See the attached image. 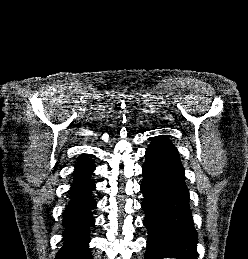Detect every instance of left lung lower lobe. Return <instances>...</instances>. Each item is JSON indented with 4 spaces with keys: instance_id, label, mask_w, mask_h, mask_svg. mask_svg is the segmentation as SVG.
<instances>
[{
    "instance_id": "left-lung-lower-lobe-1",
    "label": "left lung lower lobe",
    "mask_w": 248,
    "mask_h": 259,
    "mask_svg": "<svg viewBox=\"0 0 248 259\" xmlns=\"http://www.w3.org/2000/svg\"><path fill=\"white\" fill-rule=\"evenodd\" d=\"M145 157L141 207L146 214L144 225L149 237L144 259H197V232L176 148L154 139Z\"/></svg>"
}]
</instances>
